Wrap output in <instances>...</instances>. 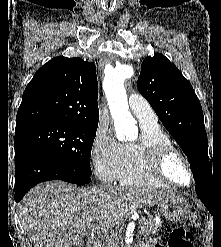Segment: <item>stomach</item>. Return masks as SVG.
<instances>
[{"instance_id": "stomach-1", "label": "stomach", "mask_w": 221, "mask_h": 247, "mask_svg": "<svg viewBox=\"0 0 221 247\" xmlns=\"http://www.w3.org/2000/svg\"><path fill=\"white\" fill-rule=\"evenodd\" d=\"M158 212L160 216L171 222H178L188 212L190 205L179 196H172L158 203Z\"/></svg>"}]
</instances>
